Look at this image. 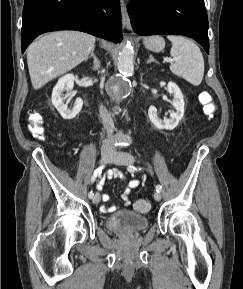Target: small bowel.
I'll return each mask as SVG.
<instances>
[{
  "mask_svg": "<svg viewBox=\"0 0 243 289\" xmlns=\"http://www.w3.org/2000/svg\"><path fill=\"white\" fill-rule=\"evenodd\" d=\"M124 175L121 171L117 170V169H113L108 173V179H124ZM141 182L138 179H133L128 181L127 185H126V189L124 191V193L122 194V200L124 202V206H129L130 205V198H129V194L131 192L132 189L137 188L138 186H140ZM98 189H102V183L98 184L97 186ZM109 200V195L108 194H103L102 195V201L106 202ZM101 211L104 213H113L117 210L116 206H101Z\"/></svg>",
  "mask_w": 243,
  "mask_h": 289,
  "instance_id": "c3829d8e",
  "label": "small bowel"
}]
</instances>
